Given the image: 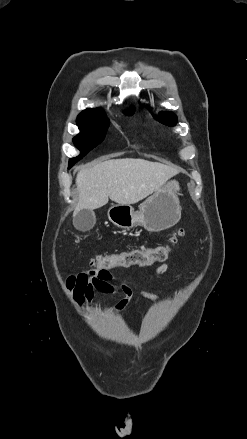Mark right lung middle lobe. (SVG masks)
<instances>
[{"label": "right lung middle lobe", "mask_w": 247, "mask_h": 439, "mask_svg": "<svg viewBox=\"0 0 247 439\" xmlns=\"http://www.w3.org/2000/svg\"><path fill=\"white\" fill-rule=\"evenodd\" d=\"M132 114L133 112L127 113V115ZM77 124L81 132L73 141L81 153L79 156L70 159L69 167L78 162L104 139L109 121L105 117L78 116Z\"/></svg>", "instance_id": "right-lung-middle-lobe-1"}]
</instances>
